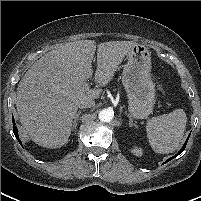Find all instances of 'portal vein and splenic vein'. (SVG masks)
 <instances>
[{
  "instance_id": "obj_1",
  "label": "portal vein and splenic vein",
  "mask_w": 201,
  "mask_h": 201,
  "mask_svg": "<svg viewBox=\"0 0 201 201\" xmlns=\"http://www.w3.org/2000/svg\"><path fill=\"white\" fill-rule=\"evenodd\" d=\"M89 87H90L89 83H86V82H85V83L83 84V88H84V89L88 90Z\"/></svg>"
}]
</instances>
